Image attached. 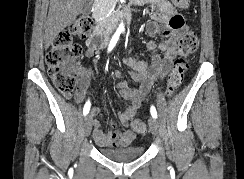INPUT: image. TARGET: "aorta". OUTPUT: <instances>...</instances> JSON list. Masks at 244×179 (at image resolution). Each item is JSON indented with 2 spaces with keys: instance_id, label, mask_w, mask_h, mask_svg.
<instances>
[{
  "instance_id": "1",
  "label": "aorta",
  "mask_w": 244,
  "mask_h": 179,
  "mask_svg": "<svg viewBox=\"0 0 244 179\" xmlns=\"http://www.w3.org/2000/svg\"><path fill=\"white\" fill-rule=\"evenodd\" d=\"M125 28H124V24H119V28L117 30V32H124Z\"/></svg>"
}]
</instances>
